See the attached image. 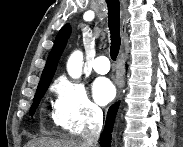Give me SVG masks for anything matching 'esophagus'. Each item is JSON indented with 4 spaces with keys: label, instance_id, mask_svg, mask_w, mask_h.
<instances>
[{
    "label": "esophagus",
    "instance_id": "esophagus-1",
    "mask_svg": "<svg viewBox=\"0 0 183 147\" xmlns=\"http://www.w3.org/2000/svg\"><path fill=\"white\" fill-rule=\"evenodd\" d=\"M121 32H122V34H124L126 32V26H125V21L124 20H123V24H122V27H121ZM120 94H121V90L118 89L117 96H116V101L119 99Z\"/></svg>",
    "mask_w": 183,
    "mask_h": 147
}]
</instances>
